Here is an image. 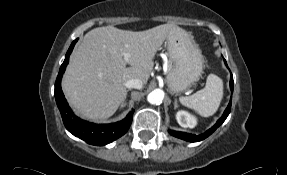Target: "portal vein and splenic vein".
Masks as SVG:
<instances>
[{"mask_svg": "<svg viewBox=\"0 0 287 175\" xmlns=\"http://www.w3.org/2000/svg\"><path fill=\"white\" fill-rule=\"evenodd\" d=\"M124 58H125V60H128L129 55H128V54H125Z\"/></svg>", "mask_w": 287, "mask_h": 175, "instance_id": "obj_1", "label": "portal vein and splenic vein"}]
</instances>
